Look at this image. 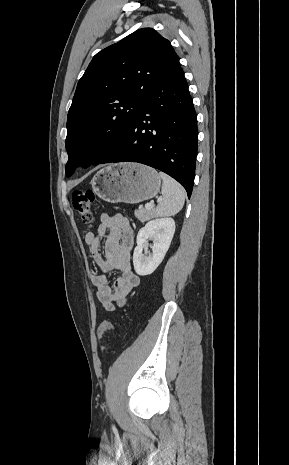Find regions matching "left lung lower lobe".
Wrapping results in <instances>:
<instances>
[{"label":"left lung lower lobe","instance_id":"left-lung-lower-lobe-1","mask_svg":"<svg viewBox=\"0 0 289 465\" xmlns=\"http://www.w3.org/2000/svg\"><path fill=\"white\" fill-rule=\"evenodd\" d=\"M197 118L179 67L149 91L119 144L98 164L138 162L176 179L191 196L197 155Z\"/></svg>","mask_w":289,"mask_h":465}]
</instances>
